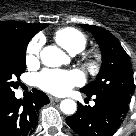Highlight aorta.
<instances>
[{
  "mask_svg": "<svg viewBox=\"0 0 136 136\" xmlns=\"http://www.w3.org/2000/svg\"><path fill=\"white\" fill-rule=\"evenodd\" d=\"M40 58L44 65L48 67H58L65 62L66 55L56 46H46L41 50ZM76 108V102L71 99H65L60 103L61 111L67 115L74 114Z\"/></svg>",
  "mask_w": 136,
  "mask_h": 136,
  "instance_id": "obj_1",
  "label": "aorta"
}]
</instances>
